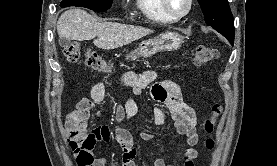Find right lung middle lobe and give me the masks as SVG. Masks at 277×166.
Returning <instances> with one entry per match:
<instances>
[{"label":"right lung middle lobe","instance_id":"1","mask_svg":"<svg viewBox=\"0 0 277 166\" xmlns=\"http://www.w3.org/2000/svg\"><path fill=\"white\" fill-rule=\"evenodd\" d=\"M113 0H63L61 7L81 6L96 11H106Z\"/></svg>","mask_w":277,"mask_h":166}]
</instances>
